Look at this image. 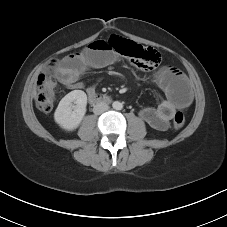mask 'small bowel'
<instances>
[{"instance_id":"1","label":"small bowel","mask_w":227,"mask_h":227,"mask_svg":"<svg viewBox=\"0 0 227 227\" xmlns=\"http://www.w3.org/2000/svg\"><path fill=\"white\" fill-rule=\"evenodd\" d=\"M117 54L111 50L105 40L90 43L81 52L65 57L57 67V75L61 83L68 89H82L85 84L80 80L89 68H103L113 64ZM155 80L165 94L156 107H145L140 110V117L152 128L165 131L177 109H186L192 103V93L185 75L176 68L162 67L155 73ZM88 95L95 90L93 86L86 88Z\"/></svg>"}]
</instances>
